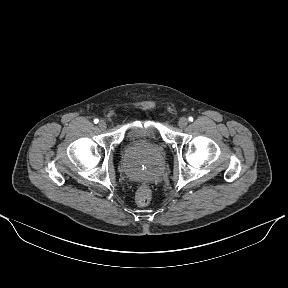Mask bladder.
Wrapping results in <instances>:
<instances>
[{"mask_svg":"<svg viewBox=\"0 0 288 288\" xmlns=\"http://www.w3.org/2000/svg\"><path fill=\"white\" fill-rule=\"evenodd\" d=\"M156 126L152 122L142 121L141 124H132L128 127V135L133 138L156 133Z\"/></svg>","mask_w":288,"mask_h":288,"instance_id":"1","label":"bladder"}]
</instances>
